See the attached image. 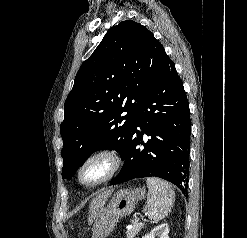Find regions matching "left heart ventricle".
Here are the masks:
<instances>
[{
    "label": "left heart ventricle",
    "mask_w": 247,
    "mask_h": 238,
    "mask_svg": "<svg viewBox=\"0 0 247 238\" xmlns=\"http://www.w3.org/2000/svg\"><path fill=\"white\" fill-rule=\"evenodd\" d=\"M108 170V164L103 160L91 163L84 171L83 177L86 181L91 182L102 177Z\"/></svg>",
    "instance_id": "left-heart-ventricle-1"
}]
</instances>
